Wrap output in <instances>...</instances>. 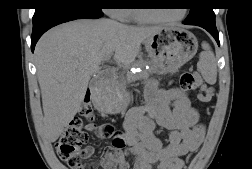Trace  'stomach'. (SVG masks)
Listing matches in <instances>:
<instances>
[{"mask_svg": "<svg viewBox=\"0 0 252 169\" xmlns=\"http://www.w3.org/2000/svg\"><path fill=\"white\" fill-rule=\"evenodd\" d=\"M145 49L160 74L174 73L197 52L198 41L186 29L162 27L144 40ZM127 97L122 87L112 86L101 95L100 107L110 114L120 113L126 106Z\"/></svg>", "mask_w": 252, "mask_h": 169, "instance_id": "stomach-1", "label": "stomach"}]
</instances>
